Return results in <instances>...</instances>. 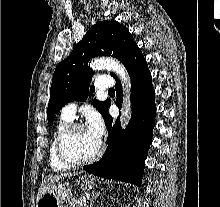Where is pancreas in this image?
Instances as JSON below:
<instances>
[{"label": "pancreas", "mask_w": 220, "mask_h": 207, "mask_svg": "<svg viewBox=\"0 0 220 207\" xmlns=\"http://www.w3.org/2000/svg\"><path fill=\"white\" fill-rule=\"evenodd\" d=\"M68 207H88L85 198H79L78 200H72L69 202Z\"/></svg>", "instance_id": "cf45deb5"}]
</instances>
